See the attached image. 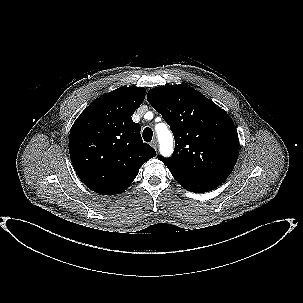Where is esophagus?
Returning a JSON list of instances; mask_svg holds the SVG:
<instances>
[{"label":"esophagus","mask_w":303,"mask_h":303,"mask_svg":"<svg viewBox=\"0 0 303 303\" xmlns=\"http://www.w3.org/2000/svg\"><path fill=\"white\" fill-rule=\"evenodd\" d=\"M151 146L156 150L158 148V141L156 139L152 140Z\"/></svg>","instance_id":"obj_1"}]
</instances>
